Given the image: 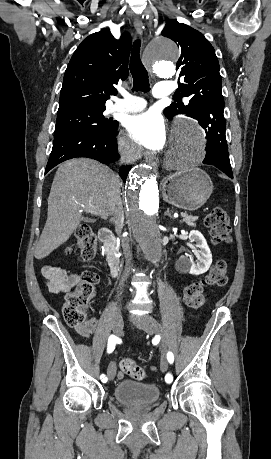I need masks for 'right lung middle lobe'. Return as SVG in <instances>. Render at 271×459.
<instances>
[{
	"instance_id": "dd1d6c3e",
	"label": "right lung middle lobe",
	"mask_w": 271,
	"mask_h": 459,
	"mask_svg": "<svg viewBox=\"0 0 271 459\" xmlns=\"http://www.w3.org/2000/svg\"><path fill=\"white\" fill-rule=\"evenodd\" d=\"M105 107L85 106L58 112L54 138L76 130L108 131L118 122L103 115Z\"/></svg>"
}]
</instances>
